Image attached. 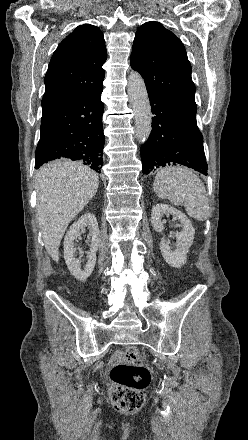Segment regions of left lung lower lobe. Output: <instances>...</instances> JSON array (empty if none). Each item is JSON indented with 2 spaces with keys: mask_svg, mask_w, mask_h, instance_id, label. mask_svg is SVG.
Masks as SVG:
<instances>
[{
  "mask_svg": "<svg viewBox=\"0 0 248 440\" xmlns=\"http://www.w3.org/2000/svg\"><path fill=\"white\" fill-rule=\"evenodd\" d=\"M152 131L141 146L142 173L181 164L207 175L203 137L196 120L190 119L157 95L148 94Z\"/></svg>",
  "mask_w": 248,
  "mask_h": 440,
  "instance_id": "left-lung-lower-lobe-1",
  "label": "left lung lower lobe"
}]
</instances>
